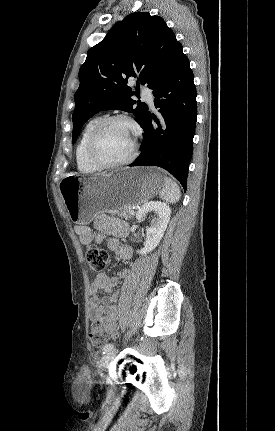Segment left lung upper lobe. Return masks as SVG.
Listing matches in <instances>:
<instances>
[{"mask_svg":"<svg viewBox=\"0 0 275 431\" xmlns=\"http://www.w3.org/2000/svg\"><path fill=\"white\" fill-rule=\"evenodd\" d=\"M180 45L166 22L148 12H135L117 22L106 37L87 52L79 70L80 85L74 95L72 143L83 124L103 110L133 113L141 125L148 106L131 97L139 94V83L153 88ZM137 78L136 91L127 86Z\"/></svg>","mask_w":275,"mask_h":431,"instance_id":"obj_1","label":"left lung upper lobe"}]
</instances>
